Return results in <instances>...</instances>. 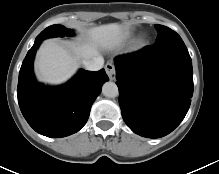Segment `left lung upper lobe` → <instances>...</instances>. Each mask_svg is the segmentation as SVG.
<instances>
[{
  "instance_id": "obj_1",
  "label": "left lung upper lobe",
  "mask_w": 219,
  "mask_h": 174,
  "mask_svg": "<svg viewBox=\"0 0 219 174\" xmlns=\"http://www.w3.org/2000/svg\"><path fill=\"white\" fill-rule=\"evenodd\" d=\"M155 28L158 32L155 44L163 42H183L181 37L170 28L163 25H155Z\"/></svg>"
}]
</instances>
